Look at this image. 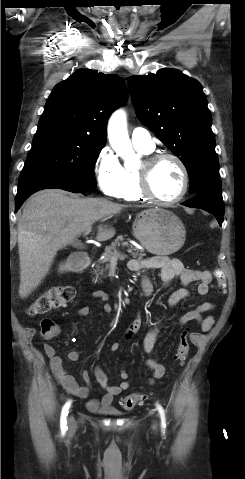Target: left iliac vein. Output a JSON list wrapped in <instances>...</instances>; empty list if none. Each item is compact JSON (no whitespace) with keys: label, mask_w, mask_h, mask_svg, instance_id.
I'll return each mask as SVG.
<instances>
[{"label":"left iliac vein","mask_w":245,"mask_h":479,"mask_svg":"<svg viewBox=\"0 0 245 479\" xmlns=\"http://www.w3.org/2000/svg\"><path fill=\"white\" fill-rule=\"evenodd\" d=\"M153 429H154V430L157 429V423H156V422L153 424Z\"/></svg>","instance_id":"4c4485c4"}]
</instances>
